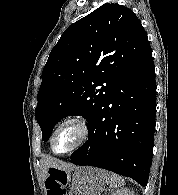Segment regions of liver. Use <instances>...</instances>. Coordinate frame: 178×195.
<instances>
[{
    "instance_id": "1",
    "label": "liver",
    "mask_w": 178,
    "mask_h": 195,
    "mask_svg": "<svg viewBox=\"0 0 178 195\" xmlns=\"http://www.w3.org/2000/svg\"><path fill=\"white\" fill-rule=\"evenodd\" d=\"M42 163H43V170L45 173L51 167L64 169V170H72L74 168L73 165L71 164H66L64 162H61L60 160H57L49 156L44 157Z\"/></svg>"
}]
</instances>
